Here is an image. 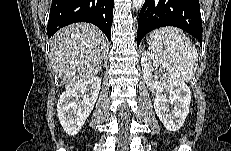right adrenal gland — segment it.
I'll use <instances>...</instances> for the list:
<instances>
[{"mask_svg": "<svg viewBox=\"0 0 231 151\" xmlns=\"http://www.w3.org/2000/svg\"><path fill=\"white\" fill-rule=\"evenodd\" d=\"M106 58V57H105ZM104 65H106V61H105V59H104Z\"/></svg>", "mask_w": 231, "mask_h": 151, "instance_id": "right-adrenal-gland-1", "label": "right adrenal gland"}]
</instances>
